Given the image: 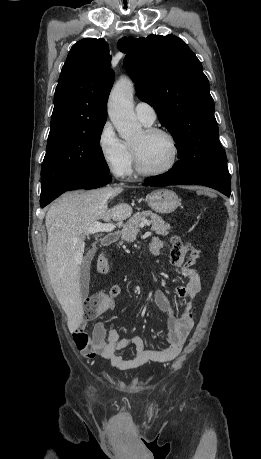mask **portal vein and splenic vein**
I'll list each match as a JSON object with an SVG mask.
<instances>
[{"label": "portal vein and splenic vein", "mask_w": 261, "mask_h": 459, "mask_svg": "<svg viewBox=\"0 0 261 459\" xmlns=\"http://www.w3.org/2000/svg\"><path fill=\"white\" fill-rule=\"evenodd\" d=\"M150 225L148 221H144L140 224V227ZM115 229V225L111 223L103 224L101 222H95L91 224L87 229V234H95L98 232H111Z\"/></svg>", "instance_id": "obj_1"}]
</instances>
